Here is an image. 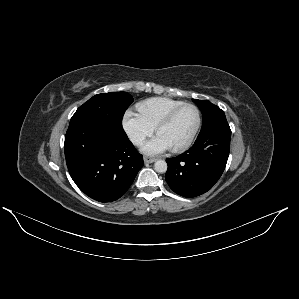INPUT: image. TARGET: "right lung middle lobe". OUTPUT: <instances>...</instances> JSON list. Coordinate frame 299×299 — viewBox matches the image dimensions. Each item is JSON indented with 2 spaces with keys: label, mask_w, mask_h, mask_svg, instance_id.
Listing matches in <instances>:
<instances>
[{
  "label": "right lung middle lobe",
  "mask_w": 299,
  "mask_h": 299,
  "mask_svg": "<svg viewBox=\"0 0 299 299\" xmlns=\"http://www.w3.org/2000/svg\"><path fill=\"white\" fill-rule=\"evenodd\" d=\"M133 102L127 92H111L98 94L81 105L70 120L76 123H106L118 131H124L122 118Z\"/></svg>",
  "instance_id": "right-lung-middle-lobe-1"
}]
</instances>
